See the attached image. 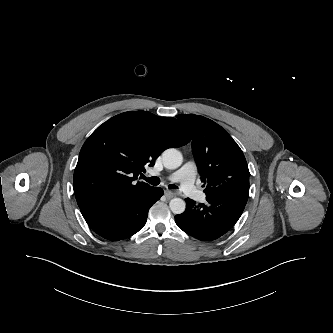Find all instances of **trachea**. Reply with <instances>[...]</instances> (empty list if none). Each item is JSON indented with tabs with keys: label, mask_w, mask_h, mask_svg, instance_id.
Listing matches in <instances>:
<instances>
[{
	"label": "trachea",
	"mask_w": 333,
	"mask_h": 333,
	"mask_svg": "<svg viewBox=\"0 0 333 333\" xmlns=\"http://www.w3.org/2000/svg\"><path fill=\"white\" fill-rule=\"evenodd\" d=\"M143 179L145 181H147L148 183H150L151 185H154V186H157L160 183V179L158 177H155V176L150 177V178H147V177L144 176ZM168 187L170 189H178V187L174 184H170Z\"/></svg>",
	"instance_id": "obj_1"
}]
</instances>
